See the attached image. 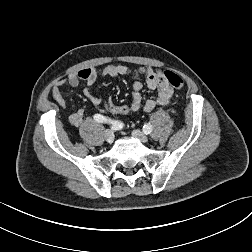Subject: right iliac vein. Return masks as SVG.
I'll list each match as a JSON object with an SVG mask.
<instances>
[{"instance_id": "right-iliac-vein-1", "label": "right iliac vein", "mask_w": 252, "mask_h": 252, "mask_svg": "<svg viewBox=\"0 0 252 252\" xmlns=\"http://www.w3.org/2000/svg\"><path fill=\"white\" fill-rule=\"evenodd\" d=\"M104 137L108 143H113L114 141V133L110 130H106L104 133Z\"/></svg>"}]
</instances>
